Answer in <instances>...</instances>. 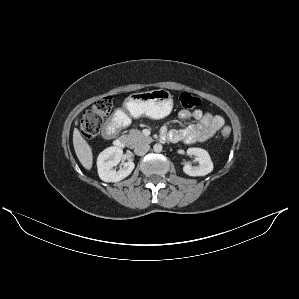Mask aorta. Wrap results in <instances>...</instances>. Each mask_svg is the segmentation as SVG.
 I'll list each match as a JSON object with an SVG mask.
<instances>
[{"mask_svg": "<svg viewBox=\"0 0 299 299\" xmlns=\"http://www.w3.org/2000/svg\"><path fill=\"white\" fill-rule=\"evenodd\" d=\"M153 150H154V152H156V153H160V152L162 151V145H161V144H155V145L153 146Z\"/></svg>", "mask_w": 299, "mask_h": 299, "instance_id": "762f6f07", "label": "aorta"}]
</instances>
